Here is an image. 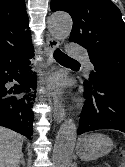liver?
<instances>
[{"instance_id": "1", "label": "liver", "mask_w": 125, "mask_h": 167, "mask_svg": "<svg viewBox=\"0 0 125 167\" xmlns=\"http://www.w3.org/2000/svg\"><path fill=\"white\" fill-rule=\"evenodd\" d=\"M23 137L0 126V167H17L22 154Z\"/></svg>"}]
</instances>
